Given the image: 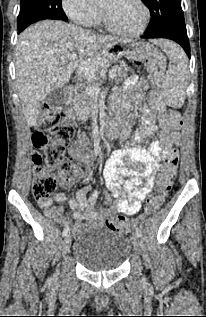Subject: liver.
Wrapping results in <instances>:
<instances>
[{
	"label": "liver",
	"mask_w": 206,
	"mask_h": 317,
	"mask_svg": "<svg viewBox=\"0 0 206 317\" xmlns=\"http://www.w3.org/2000/svg\"><path fill=\"white\" fill-rule=\"evenodd\" d=\"M117 42L130 41L95 35L61 21L46 20L25 29L17 41L15 68L26 123L35 125L41 102L66 85L77 67L83 75L87 71L82 69L83 63L97 69L105 63L100 49ZM74 51L78 58L68 63L67 55Z\"/></svg>",
	"instance_id": "1"
}]
</instances>
